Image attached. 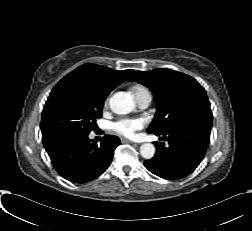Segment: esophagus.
I'll use <instances>...</instances> for the list:
<instances>
[{"instance_id": "34e87169", "label": "esophagus", "mask_w": 252, "mask_h": 231, "mask_svg": "<svg viewBox=\"0 0 252 231\" xmlns=\"http://www.w3.org/2000/svg\"><path fill=\"white\" fill-rule=\"evenodd\" d=\"M121 142H122V143H131V144L134 143L133 141L128 140V139H125V138H122V139H121Z\"/></svg>"}]
</instances>
